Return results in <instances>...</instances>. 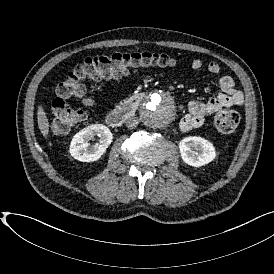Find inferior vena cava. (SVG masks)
<instances>
[{"label":"inferior vena cava","instance_id":"obj_1","mask_svg":"<svg viewBox=\"0 0 274 274\" xmlns=\"http://www.w3.org/2000/svg\"><path fill=\"white\" fill-rule=\"evenodd\" d=\"M139 124V119L136 117H131L126 120V127L129 129H134Z\"/></svg>","mask_w":274,"mask_h":274}]
</instances>
